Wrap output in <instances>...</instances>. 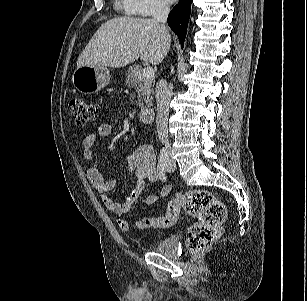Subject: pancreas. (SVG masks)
<instances>
[{"label":"pancreas","instance_id":"cf45deb5","mask_svg":"<svg viewBox=\"0 0 307 301\" xmlns=\"http://www.w3.org/2000/svg\"><path fill=\"white\" fill-rule=\"evenodd\" d=\"M126 85L136 90V99L138 106L143 107L144 103L152 105L153 90L152 86L155 82L154 77L146 78L142 75L140 65L131 66L125 74ZM134 103V101H132Z\"/></svg>","mask_w":307,"mask_h":301}]
</instances>
